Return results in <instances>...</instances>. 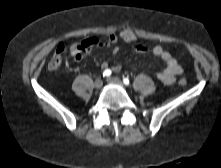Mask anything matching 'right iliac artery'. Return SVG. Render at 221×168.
<instances>
[{
    "label": "right iliac artery",
    "mask_w": 221,
    "mask_h": 168,
    "mask_svg": "<svg viewBox=\"0 0 221 168\" xmlns=\"http://www.w3.org/2000/svg\"><path fill=\"white\" fill-rule=\"evenodd\" d=\"M112 74L111 70L107 69L103 72V77H109Z\"/></svg>",
    "instance_id": "82829eb1"
}]
</instances>
